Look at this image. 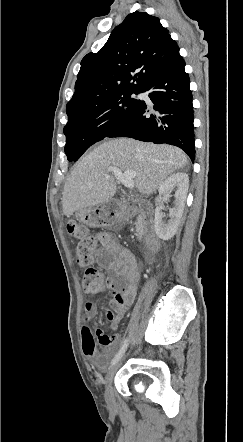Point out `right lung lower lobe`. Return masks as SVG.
Here are the masks:
<instances>
[{
    "instance_id": "98d812e1",
    "label": "right lung lower lobe",
    "mask_w": 243,
    "mask_h": 442,
    "mask_svg": "<svg viewBox=\"0 0 243 442\" xmlns=\"http://www.w3.org/2000/svg\"><path fill=\"white\" fill-rule=\"evenodd\" d=\"M185 61L176 52L144 83L140 93H147L154 112L148 115L145 101L138 100L132 114L107 137H132L156 144L166 143L185 151L195 159L192 93L185 73Z\"/></svg>"
}]
</instances>
